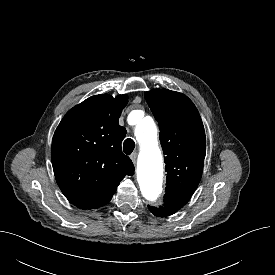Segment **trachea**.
Returning <instances> with one entry per match:
<instances>
[{
    "mask_svg": "<svg viewBox=\"0 0 275 275\" xmlns=\"http://www.w3.org/2000/svg\"><path fill=\"white\" fill-rule=\"evenodd\" d=\"M135 148V142L132 139H126L123 144L124 153L130 155Z\"/></svg>",
    "mask_w": 275,
    "mask_h": 275,
    "instance_id": "1",
    "label": "trachea"
}]
</instances>
